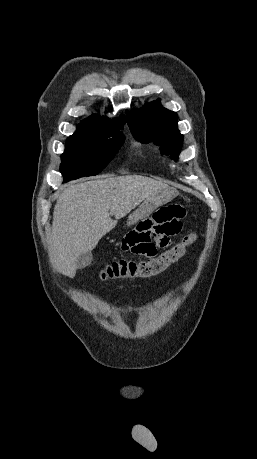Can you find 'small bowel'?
Here are the masks:
<instances>
[{"label":"small bowel","instance_id":"small-bowel-1","mask_svg":"<svg viewBox=\"0 0 257 459\" xmlns=\"http://www.w3.org/2000/svg\"><path fill=\"white\" fill-rule=\"evenodd\" d=\"M186 218L185 205H157L151 217H143L142 223L133 224V230H128L127 235L119 239L118 246L124 254L130 253L135 258H156V247L161 251L171 247L170 237L181 231V222Z\"/></svg>","mask_w":257,"mask_h":459}]
</instances>
